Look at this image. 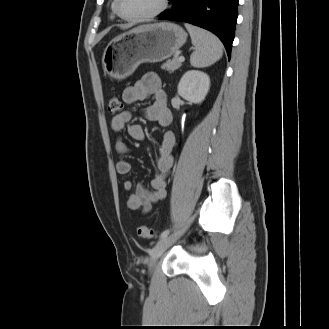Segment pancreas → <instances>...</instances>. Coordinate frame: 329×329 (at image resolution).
Listing matches in <instances>:
<instances>
[{"label": "pancreas", "mask_w": 329, "mask_h": 329, "mask_svg": "<svg viewBox=\"0 0 329 329\" xmlns=\"http://www.w3.org/2000/svg\"><path fill=\"white\" fill-rule=\"evenodd\" d=\"M182 62L179 61V58L174 57L171 60H168L166 63L162 65V69H166L168 72H173L179 67H181Z\"/></svg>", "instance_id": "pancreas-1"}]
</instances>
